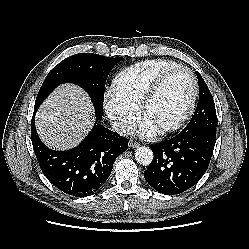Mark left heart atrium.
Listing matches in <instances>:
<instances>
[{"label": "left heart atrium", "instance_id": "39dd6f15", "mask_svg": "<svg viewBox=\"0 0 249 249\" xmlns=\"http://www.w3.org/2000/svg\"><path fill=\"white\" fill-rule=\"evenodd\" d=\"M158 129L150 122L143 120L139 126L138 133L141 136L149 137L157 133Z\"/></svg>", "mask_w": 249, "mask_h": 249}]
</instances>
